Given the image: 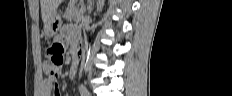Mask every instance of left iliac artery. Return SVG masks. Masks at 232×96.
Returning <instances> with one entry per match:
<instances>
[{"mask_svg":"<svg viewBox=\"0 0 232 96\" xmlns=\"http://www.w3.org/2000/svg\"><path fill=\"white\" fill-rule=\"evenodd\" d=\"M80 94H81V96H89L88 90L83 86H81V88H80Z\"/></svg>","mask_w":232,"mask_h":96,"instance_id":"left-iliac-artery-1","label":"left iliac artery"}]
</instances>
